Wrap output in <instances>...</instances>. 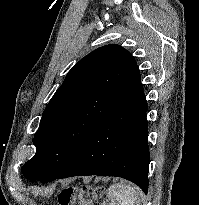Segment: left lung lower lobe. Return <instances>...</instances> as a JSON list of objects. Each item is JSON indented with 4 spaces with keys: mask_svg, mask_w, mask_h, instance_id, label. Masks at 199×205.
I'll list each match as a JSON object with an SVG mask.
<instances>
[{
    "mask_svg": "<svg viewBox=\"0 0 199 205\" xmlns=\"http://www.w3.org/2000/svg\"><path fill=\"white\" fill-rule=\"evenodd\" d=\"M140 79L139 73L129 93L99 122L58 179L80 175L122 177L147 193L148 107Z\"/></svg>",
    "mask_w": 199,
    "mask_h": 205,
    "instance_id": "left-lung-lower-lobe-1",
    "label": "left lung lower lobe"
}]
</instances>
